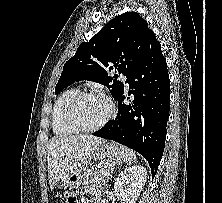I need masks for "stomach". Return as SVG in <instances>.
I'll list each match as a JSON object with an SVG mask.
<instances>
[{"instance_id":"obj_1","label":"stomach","mask_w":222,"mask_h":203,"mask_svg":"<svg viewBox=\"0 0 222 203\" xmlns=\"http://www.w3.org/2000/svg\"><path fill=\"white\" fill-rule=\"evenodd\" d=\"M126 158V148L118 143L109 142L99 145L93 154V159H101L107 161H121ZM89 167L86 164L71 170L63 179L62 186L72 190L78 188L85 183Z\"/></svg>"}]
</instances>
